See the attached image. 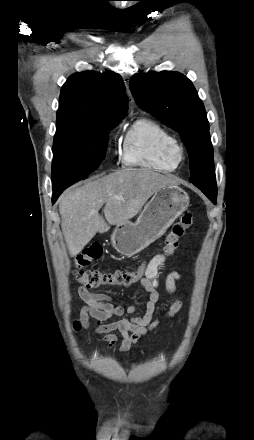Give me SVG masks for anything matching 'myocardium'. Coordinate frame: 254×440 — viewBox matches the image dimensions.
<instances>
[{
  "label": "myocardium",
  "mask_w": 254,
  "mask_h": 440,
  "mask_svg": "<svg viewBox=\"0 0 254 440\" xmlns=\"http://www.w3.org/2000/svg\"><path fill=\"white\" fill-rule=\"evenodd\" d=\"M164 156L167 160L178 165L185 157V150L180 141L173 138L164 147Z\"/></svg>",
  "instance_id": "1"
}]
</instances>
